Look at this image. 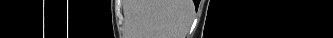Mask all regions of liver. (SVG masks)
<instances>
[{
	"label": "liver",
	"mask_w": 333,
	"mask_h": 38,
	"mask_svg": "<svg viewBox=\"0 0 333 38\" xmlns=\"http://www.w3.org/2000/svg\"><path fill=\"white\" fill-rule=\"evenodd\" d=\"M192 0H137L133 29L137 38H185L193 18Z\"/></svg>",
	"instance_id": "liver-1"
}]
</instances>
